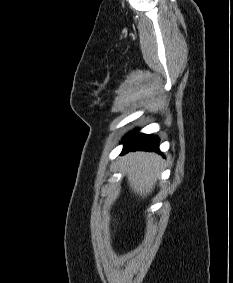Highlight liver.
Returning a JSON list of instances; mask_svg holds the SVG:
<instances>
[{"label": "liver", "instance_id": "obj_1", "mask_svg": "<svg viewBox=\"0 0 233 283\" xmlns=\"http://www.w3.org/2000/svg\"><path fill=\"white\" fill-rule=\"evenodd\" d=\"M122 170L130 188L142 198L151 194L162 171L161 157L151 152H132L125 157Z\"/></svg>", "mask_w": 233, "mask_h": 283}]
</instances>
